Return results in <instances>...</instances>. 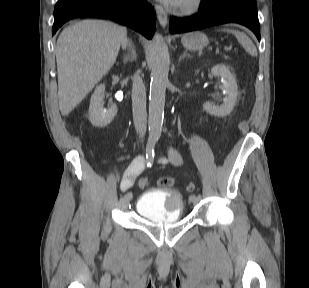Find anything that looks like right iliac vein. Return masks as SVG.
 I'll use <instances>...</instances> for the list:
<instances>
[{
    "label": "right iliac vein",
    "mask_w": 309,
    "mask_h": 288,
    "mask_svg": "<svg viewBox=\"0 0 309 288\" xmlns=\"http://www.w3.org/2000/svg\"><path fill=\"white\" fill-rule=\"evenodd\" d=\"M131 197L130 198H126L125 196L122 197L120 199V205L123 207V208H126L129 204V201H130Z\"/></svg>",
    "instance_id": "63e3f726"
}]
</instances>
